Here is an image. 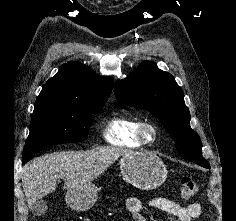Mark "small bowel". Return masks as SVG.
I'll return each instance as SVG.
<instances>
[{"label":"small bowel","instance_id":"c3829d8e","mask_svg":"<svg viewBox=\"0 0 236 221\" xmlns=\"http://www.w3.org/2000/svg\"><path fill=\"white\" fill-rule=\"evenodd\" d=\"M148 206L172 215L175 221H193L201 214L199 203L183 205L172 198L155 197L148 202ZM146 207L144 200L138 197H130L126 200V208L135 221H146L142 215Z\"/></svg>","mask_w":236,"mask_h":221}]
</instances>
